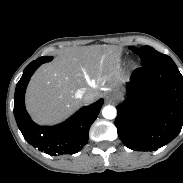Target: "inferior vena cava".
I'll list each match as a JSON object with an SVG mask.
<instances>
[{
	"mask_svg": "<svg viewBox=\"0 0 183 183\" xmlns=\"http://www.w3.org/2000/svg\"><path fill=\"white\" fill-rule=\"evenodd\" d=\"M77 97L80 98L84 103H91L96 98V92L91 89L79 90Z\"/></svg>",
	"mask_w": 183,
	"mask_h": 183,
	"instance_id": "inferior-vena-cava-1",
	"label": "inferior vena cava"
}]
</instances>
